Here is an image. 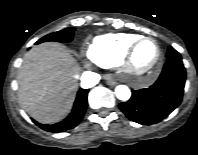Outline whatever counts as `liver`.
I'll return each mask as SVG.
<instances>
[{
	"label": "liver",
	"mask_w": 198,
	"mask_h": 155,
	"mask_svg": "<svg viewBox=\"0 0 198 155\" xmlns=\"http://www.w3.org/2000/svg\"><path fill=\"white\" fill-rule=\"evenodd\" d=\"M78 65L64 46L44 43L33 47L18 71V99L36 121L52 124L71 110Z\"/></svg>",
	"instance_id": "1"
}]
</instances>
